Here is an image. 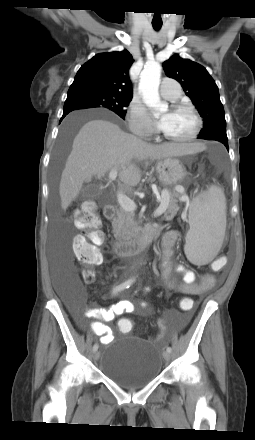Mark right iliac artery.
I'll use <instances>...</instances> for the list:
<instances>
[{
  "mask_svg": "<svg viewBox=\"0 0 255 440\" xmlns=\"http://www.w3.org/2000/svg\"><path fill=\"white\" fill-rule=\"evenodd\" d=\"M134 281H135V278L128 279L124 283L114 287L112 293L117 294L118 292H121L124 289L129 288L133 284ZM97 349H98V344H94L93 351H97Z\"/></svg>",
  "mask_w": 255,
  "mask_h": 440,
  "instance_id": "82829eb1",
  "label": "right iliac artery"
}]
</instances>
